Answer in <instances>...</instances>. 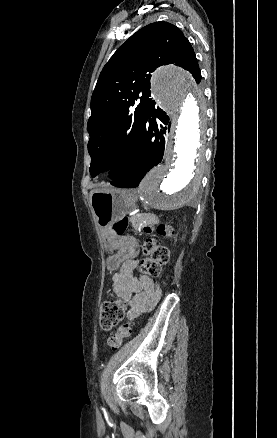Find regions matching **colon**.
<instances>
[{
  "instance_id": "1",
  "label": "colon",
  "mask_w": 277,
  "mask_h": 438,
  "mask_svg": "<svg viewBox=\"0 0 277 438\" xmlns=\"http://www.w3.org/2000/svg\"><path fill=\"white\" fill-rule=\"evenodd\" d=\"M129 225L127 218H122L112 226V231L116 235H123ZM157 232L159 235H168L171 228L164 224L158 223L156 220L147 218L144 224V232L150 236L143 245V252L149 257L145 258L140 263V271L149 275L152 278H158L161 267L169 262L168 248L157 243L156 239L151 236L152 232ZM125 305L123 302L116 299L106 300L99 315V324L102 329L109 330L116 327L124 315ZM133 323L128 322L121 325L117 332L108 338V343L112 348H119L123 340L132 334Z\"/></svg>"
}]
</instances>
